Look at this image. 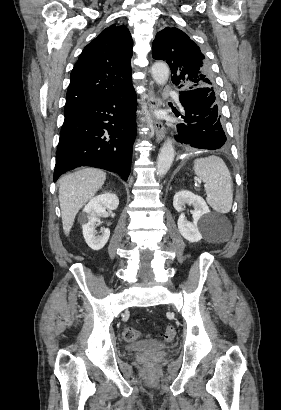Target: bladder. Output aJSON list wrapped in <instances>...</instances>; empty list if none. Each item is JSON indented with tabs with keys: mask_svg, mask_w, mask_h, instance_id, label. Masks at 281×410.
<instances>
[{
	"mask_svg": "<svg viewBox=\"0 0 281 410\" xmlns=\"http://www.w3.org/2000/svg\"><path fill=\"white\" fill-rule=\"evenodd\" d=\"M165 347V343L154 340H146L140 342H132L128 344L127 350L130 352H155L162 350Z\"/></svg>",
	"mask_w": 281,
	"mask_h": 410,
	"instance_id": "bladder-1",
	"label": "bladder"
}]
</instances>
